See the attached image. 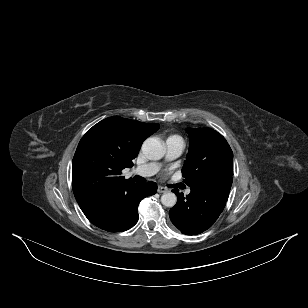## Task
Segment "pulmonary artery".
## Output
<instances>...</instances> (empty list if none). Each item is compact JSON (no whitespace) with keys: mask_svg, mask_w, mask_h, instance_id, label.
I'll use <instances>...</instances> for the list:
<instances>
[{"mask_svg":"<svg viewBox=\"0 0 308 308\" xmlns=\"http://www.w3.org/2000/svg\"><path fill=\"white\" fill-rule=\"evenodd\" d=\"M166 147V159L173 160L179 157L184 149V142L178 138H168L165 142ZM160 165L158 163H149L139 166L134 169V173L143 177H149L156 174L159 171ZM190 193V189L186 191V194Z\"/></svg>","mask_w":308,"mask_h":308,"instance_id":"e3ab8cb5","label":"pulmonary artery"}]
</instances>
